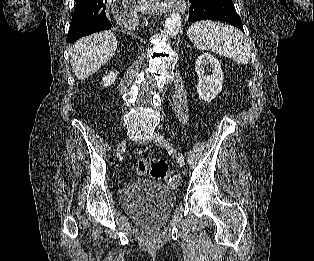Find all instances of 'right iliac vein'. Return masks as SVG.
Masks as SVG:
<instances>
[{"mask_svg":"<svg viewBox=\"0 0 314 261\" xmlns=\"http://www.w3.org/2000/svg\"><path fill=\"white\" fill-rule=\"evenodd\" d=\"M125 143H126L125 140L121 141V143L119 144L118 149H117V154H120V152L123 150Z\"/></svg>","mask_w":314,"mask_h":261,"instance_id":"63e3f726","label":"right iliac vein"}]
</instances>
